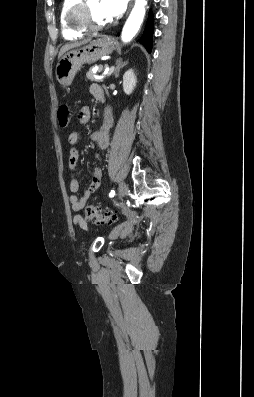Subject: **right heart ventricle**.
Returning <instances> with one entry per match:
<instances>
[{"mask_svg": "<svg viewBox=\"0 0 254 397\" xmlns=\"http://www.w3.org/2000/svg\"><path fill=\"white\" fill-rule=\"evenodd\" d=\"M78 1L79 0H63L61 4L59 14L60 31L63 38L66 40H76L85 34L84 31L73 28L68 21L69 10Z\"/></svg>", "mask_w": 254, "mask_h": 397, "instance_id": "obj_1", "label": "right heart ventricle"}]
</instances>
